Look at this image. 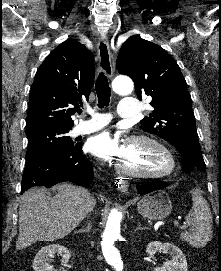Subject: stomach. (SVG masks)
<instances>
[{"instance_id":"0dacf381","label":"stomach","mask_w":221,"mask_h":271,"mask_svg":"<svg viewBox=\"0 0 221 271\" xmlns=\"http://www.w3.org/2000/svg\"><path fill=\"white\" fill-rule=\"evenodd\" d=\"M137 209L148 219H164L172 211V201L164 189H156L137 201Z\"/></svg>"}]
</instances>
